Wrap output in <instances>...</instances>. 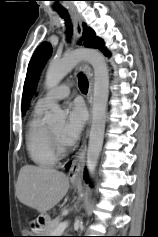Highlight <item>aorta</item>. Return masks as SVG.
I'll list each match as a JSON object with an SVG mask.
<instances>
[{
  "label": "aorta",
  "mask_w": 158,
  "mask_h": 237,
  "mask_svg": "<svg viewBox=\"0 0 158 237\" xmlns=\"http://www.w3.org/2000/svg\"><path fill=\"white\" fill-rule=\"evenodd\" d=\"M81 61H87L93 67L94 88L92 105V125L89 134L87 150V171L93 177L98 158L102 150L105 124L107 117V101L109 95V70L104 56L92 49H83L66 54L61 59H52L49 63L45 85L51 89ZM66 115L60 106L53 103L51 113L47 119L49 125H63ZM88 191L85 193V202L88 200Z\"/></svg>",
  "instance_id": "762f6f07"
}]
</instances>
